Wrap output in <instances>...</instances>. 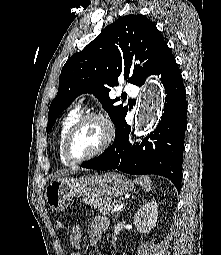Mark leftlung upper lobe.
Returning <instances> with one entry per match:
<instances>
[{
  "label": "left lung upper lobe",
  "instance_id": "obj_1",
  "mask_svg": "<svg viewBox=\"0 0 221 255\" xmlns=\"http://www.w3.org/2000/svg\"><path fill=\"white\" fill-rule=\"evenodd\" d=\"M166 46L156 25L144 15L123 16L108 25L62 68L58 93L49 108L47 133L58 115L83 93L94 94L117 126L128 107L114 105L116 100L109 98L110 87L118 85L119 76L143 85ZM133 56L145 61L143 67L131 68Z\"/></svg>",
  "mask_w": 221,
  "mask_h": 255
}]
</instances>
